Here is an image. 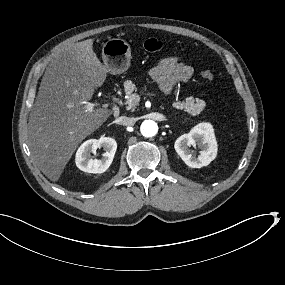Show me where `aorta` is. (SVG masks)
Here are the masks:
<instances>
[{"mask_svg": "<svg viewBox=\"0 0 285 285\" xmlns=\"http://www.w3.org/2000/svg\"><path fill=\"white\" fill-rule=\"evenodd\" d=\"M140 131L144 137H153L158 132V125L153 120H145L140 126Z\"/></svg>", "mask_w": 285, "mask_h": 285, "instance_id": "762f6f07", "label": "aorta"}]
</instances>
